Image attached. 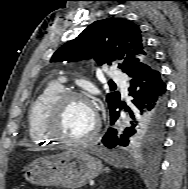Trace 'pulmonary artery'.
Instances as JSON below:
<instances>
[{
    "label": "pulmonary artery",
    "mask_w": 188,
    "mask_h": 189,
    "mask_svg": "<svg viewBox=\"0 0 188 189\" xmlns=\"http://www.w3.org/2000/svg\"><path fill=\"white\" fill-rule=\"evenodd\" d=\"M109 76L112 80L119 82L121 84L124 95H127V84L124 81L125 75L122 72L114 68H111V70L109 71Z\"/></svg>",
    "instance_id": "obj_1"
}]
</instances>
